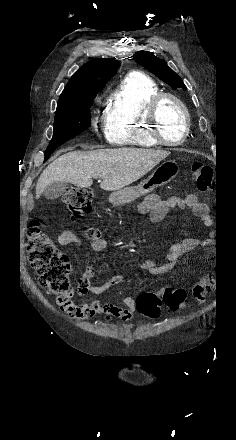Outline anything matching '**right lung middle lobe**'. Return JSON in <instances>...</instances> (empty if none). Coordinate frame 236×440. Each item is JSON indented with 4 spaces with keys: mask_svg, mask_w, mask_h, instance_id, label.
<instances>
[{
    "mask_svg": "<svg viewBox=\"0 0 236 440\" xmlns=\"http://www.w3.org/2000/svg\"><path fill=\"white\" fill-rule=\"evenodd\" d=\"M96 94L58 103L54 119L53 138L47 149L60 146L91 125L89 108Z\"/></svg>",
    "mask_w": 236,
    "mask_h": 440,
    "instance_id": "obj_1",
    "label": "right lung middle lobe"
}]
</instances>
